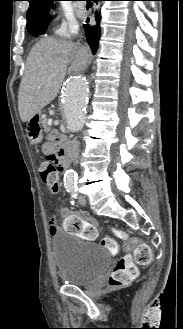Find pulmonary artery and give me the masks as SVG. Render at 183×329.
Instances as JSON below:
<instances>
[{"instance_id": "obj_1", "label": "pulmonary artery", "mask_w": 183, "mask_h": 329, "mask_svg": "<svg viewBox=\"0 0 183 329\" xmlns=\"http://www.w3.org/2000/svg\"><path fill=\"white\" fill-rule=\"evenodd\" d=\"M77 7L78 9L82 10L85 8V5L84 4H77Z\"/></svg>"}]
</instances>
